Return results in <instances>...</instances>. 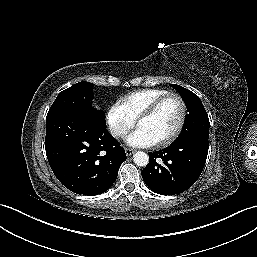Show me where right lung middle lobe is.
<instances>
[{
    "instance_id": "dd1d6c3e",
    "label": "right lung middle lobe",
    "mask_w": 257,
    "mask_h": 257,
    "mask_svg": "<svg viewBox=\"0 0 257 257\" xmlns=\"http://www.w3.org/2000/svg\"><path fill=\"white\" fill-rule=\"evenodd\" d=\"M67 110L80 111L88 114L101 125L106 126L103 111L97 110L92 104V84L79 82L59 93L47 116Z\"/></svg>"
}]
</instances>
